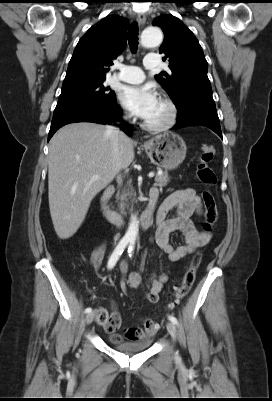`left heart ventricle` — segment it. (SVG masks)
Returning a JSON list of instances; mask_svg holds the SVG:
<instances>
[{
	"label": "left heart ventricle",
	"mask_w": 272,
	"mask_h": 401,
	"mask_svg": "<svg viewBox=\"0 0 272 401\" xmlns=\"http://www.w3.org/2000/svg\"><path fill=\"white\" fill-rule=\"evenodd\" d=\"M168 109L165 104L158 100L153 112L145 119L150 123L162 122L167 118Z\"/></svg>",
	"instance_id": "b2bd125f"
}]
</instances>
